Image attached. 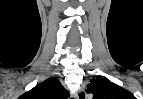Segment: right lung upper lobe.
<instances>
[{"instance_id": "right-lung-upper-lobe-1", "label": "right lung upper lobe", "mask_w": 143, "mask_h": 99, "mask_svg": "<svg viewBox=\"0 0 143 99\" xmlns=\"http://www.w3.org/2000/svg\"><path fill=\"white\" fill-rule=\"evenodd\" d=\"M68 95L58 79L49 78L21 95L19 99H67Z\"/></svg>"}]
</instances>
